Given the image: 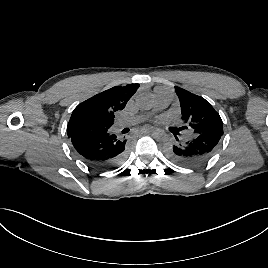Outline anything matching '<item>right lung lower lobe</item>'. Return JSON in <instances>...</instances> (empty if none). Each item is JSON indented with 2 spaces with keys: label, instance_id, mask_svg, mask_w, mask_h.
<instances>
[{
  "label": "right lung lower lobe",
  "instance_id": "obj_1",
  "mask_svg": "<svg viewBox=\"0 0 268 268\" xmlns=\"http://www.w3.org/2000/svg\"><path fill=\"white\" fill-rule=\"evenodd\" d=\"M107 131L90 136H69L78 156L88 165L110 169L122 160L126 140Z\"/></svg>",
  "mask_w": 268,
  "mask_h": 268
}]
</instances>
